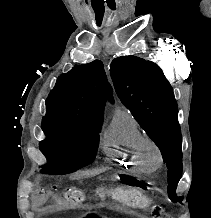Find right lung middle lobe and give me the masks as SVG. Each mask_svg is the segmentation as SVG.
Instances as JSON below:
<instances>
[{
  "instance_id": "right-lung-middle-lobe-1",
  "label": "right lung middle lobe",
  "mask_w": 211,
  "mask_h": 218,
  "mask_svg": "<svg viewBox=\"0 0 211 218\" xmlns=\"http://www.w3.org/2000/svg\"><path fill=\"white\" fill-rule=\"evenodd\" d=\"M102 123L103 120L46 114L42 120L46 139L42 143L69 144L81 148L84 152L80 161L58 164L54 168V174L70 173L94 161Z\"/></svg>"
}]
</instances>
